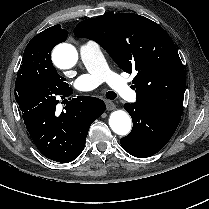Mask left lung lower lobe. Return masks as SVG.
Returning <instances> with one entry per match:
<instances>
[{
    "mask_svg": "<svg viewBox=\"0 0 209 209\" xmlns=\"http://www.w3.org/2000/svg\"><path fill=\"white\" fill-rule=\"evenodd\" d=\"M133 121L132 131L121 138L122 147L132 156L146 158L160 151L171 139L181 116L170 115L141 103H126Z\"/></svg>",
    "mask_w": 209,
    "mask_h": 209,
    "instance_id": "left-lung-lower-lobe-1",
    "label": "left lung lower lobe"
}]
</instances>
